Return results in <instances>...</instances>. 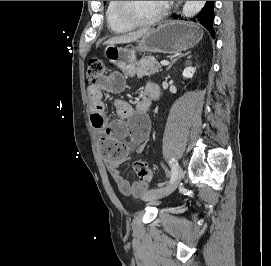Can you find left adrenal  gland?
Instances as JSON below:
<instances>
[{"label":"left adrenal gland","instance_id":"a2214340","mask_svg":"<svg viewBox=\"0 0 271 266\" xmlns=\"http://www.w3.org/2000/svg\"><path fill=\"white\" fill-rule=\"evenodd\" d=\"M186 55H187V53H186V54H182V55H180L179 57H177L176 59H174V60L172 61V63L168 66V68L166 69V71H168V70L172 67V65H173L179 58L184 57V56H186Z\"/></svg>","mask_w":271,"mask_h":266}]
</instances>
